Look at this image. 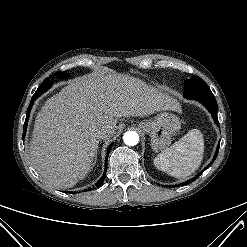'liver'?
I'll return each instance as SVG.
<instances>
[{"label": "liver", "mask_w": 247, "mask_h": 247, "mask_svg": "<svg viewBox=\"0 0 247 247\" xmlns=\"http://www.w3.org/2000/svg\"><path fill=\"white\" fill-rule=\"evenodd\" d=\"M179 111L176 99L128 75H97L68 84L49 98L35 118L29 156L50 185L70 188L88 174L99 140L114 134L117 119L156 111Z\"/></svg>", "instance_id": "liver-1"}]
</instances>
